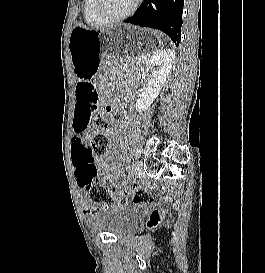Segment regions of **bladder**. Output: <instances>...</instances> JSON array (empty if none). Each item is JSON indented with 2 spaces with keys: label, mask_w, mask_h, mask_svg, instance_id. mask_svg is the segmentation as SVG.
Returning a JSON list of instances; mask_svg holds the SVG:
<instances>
[{
  "label": "bladder",
  "mask_w": 265,
  "mask_h": 273,
  "mask_svg": "<svg viewBox=\"0 0 265 273\" xmlns=\"http://www.w3.org/2000/svg\"><path fill=\"white\" fill-rule=\"evenodd\" d=\"M90 225L96 231L108 232L121 238L136 230L137 215L131 207L119 206L106 212L92 215Z\"/></svg>",
  "instance_id": "obj_1"
}]
</instances>
